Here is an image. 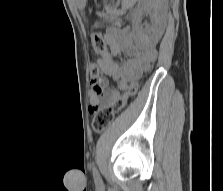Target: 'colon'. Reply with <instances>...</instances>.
Segmentation results:
<instances>
[{
  "label": "colon",
  "mask_w": 223,
  "mask_h": 191,
  "mask_svg": "<svg viewBox=\"0 0 223 191\" xmlns=\"http://www.w3.org/2000/svg\"><path fill=\"white\" fill-rule=\"evenodd\" d=\"M94 49L99 57H102L106 53V41L102 33L96 32L92 36ZM100 62H91L90 77L99 78ZM135 85L127 88L123 95L115 97L108 106L96 110L93 117V128L97 132L104 131L110 123L114 120L117 114H119L127 99L134 93Z\"/></svg>",
  "instance_id": "1"
}]
</instances>
